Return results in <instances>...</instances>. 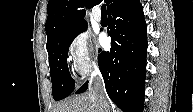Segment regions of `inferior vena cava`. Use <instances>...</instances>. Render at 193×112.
<instances>
[{"label":"inferior vena cava","mask_w":193,"mask_h":112,"mask_svg":"<svg viewBox=\"0 0 193 112\" xmlns=\"http://www.w3.org/2000/svg\"><path fill=\"white\" fill-rule=\"evenodd\" d=\"M89 92L100 107V112H110L102 75L97 67L91 74Z\"/></svg>","instance_id":"obj_1"}]
</instances>
